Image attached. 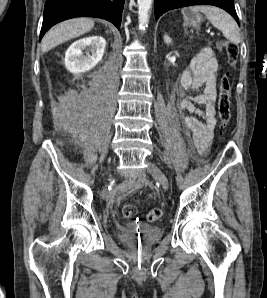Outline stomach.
Instances as JSON below:
<instances>
[{
  "mask_svg": "<svg viewBox=\"0 0 267 298\" xmlns=\"http://www.w3.org/2000/svg\"><path fill=\"white\" fill-rule=\"evenodd\" d=\"M184 27L198 28L203 20V17L198 12H193L191 8L182 9Z\"/></svg>",
  "mask_w": 267,
  "mask_h": 298,
  "instance_id": "0dacf381",
  "label": "stomach"
}]
</instances>
